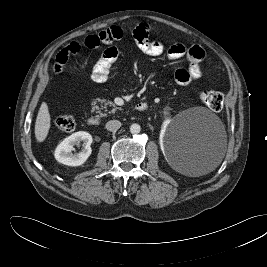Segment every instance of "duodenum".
I'll use <instances>...</instances> for the list:
<instances>
[{"mask_svg":"<svg viewBox=\"0 0 267 267\" xmlns=\"http://www.w3.org/2000/svg\"><path fill=\"white\" fill-rule=\"evenodd\" d=\"M136 110L144 111L148 108V104L145 101L138 102L135 106ZM87 123L91 126L99 125L100 119L97 116H90L87 120Z\"/></svg>","mask_w":267,"mask_h":267,"instance_id":"obj_1","label":"duodenum"}]
</instances>
